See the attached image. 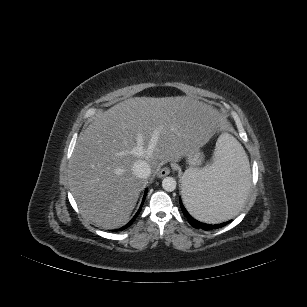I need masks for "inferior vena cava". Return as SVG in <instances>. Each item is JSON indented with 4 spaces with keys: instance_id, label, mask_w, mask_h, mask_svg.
Returning a JSON list of instances; mask_svg holds the SVG:
<instances>
[{
    "instance_id": "602c4592",
    "label": "inferior vena cava",
    "mask_w": 307,
    "mask_h": 307,
    "mask_svg": "<svg viewBox=\"0 0 307 307\" xmlns=\"http://www.w3.org/2000/svg\"><path fill=\"white\" fill-rule=\"evenodd\" d=\"M132 171L140 179L148 178L151 174L150 165L144 160H137L132 166Z\"/></svg>"
}]
</instances>
